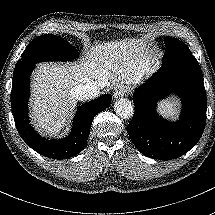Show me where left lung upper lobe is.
Segmentation results:
<instances>
[{"label":"left lung upper lobe","instance_id":"5c2ea615","mask_svg":"<svg viewBox=\"0 0 215 215\" xmlns=\"http://www.w3.org/2000/svg\"><path fill=\"white\" fill-rule=\"evenodd\" d=\"M164 42L166 49L162 62L192 55L188 46L176 38H166Z\"/></svg>","mask_w":215,"mask_h":215}]
</instances>
